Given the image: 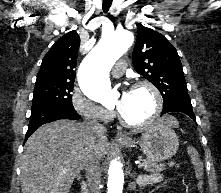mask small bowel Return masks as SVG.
<instances>
[{
    "label": "small bowel",
    "instance_id": "obj_1",
    "mask_svg": "<svg viewBox=\"0 0 221 193\" xmlns=\"http://www.w3.org/2000/svg\"><path fill=\"white\" fill-rule=\"evenodd\" d=\"M162 180L161 175H154L150 177H145L139 180V184L144 185V184H152V183H158Z\"/></svg>",
    "mask_w": 221,
    "mask_h": 193
}]
</instances>
